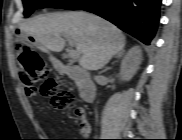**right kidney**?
Returning <instances> with one entry per match:
<instances>
[{
    "label": "right kidney",
    "instance_id": "right-kidney-1",
    "mask_svg": "<svg viewBox=\"0 0 182 140\" xmlns=\"http://www.w3.org/2000/svg\"><path fill=\"white\" fill-rule=\"evenodd\" d=\"M142 61L141 48L135 46L124 56L121 62L120 75L124 81H130L136 74Z\"/></svg>",
    "mask_w": 182,
    "mask_h": 140
}]
</instances>
